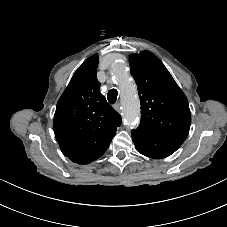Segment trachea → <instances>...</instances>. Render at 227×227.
<instances>
[{
  "mask_svg": "<svg viewBox=\"0 0 227 227\" xmlns=\"http://www.w3.org/2000/svg\"><path fill=\"white\" fill-rule=\"evenodd\" d=\"M118 92L116 89H111L107 94V99L110 104H115L117 100Z\"/></svg>",
  "mask_w": 227,
  "mask_h": 227,
  "instance_id": "obj_1",
  "label": "trachea"
}]
</instances>
